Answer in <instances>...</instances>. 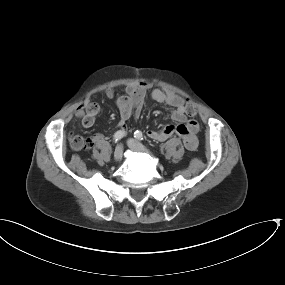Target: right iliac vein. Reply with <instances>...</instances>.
Returning a JSON list of instances; mask_svg holds the SVG:
<instances>
[{
  "mask_svg": "<svg viewBox=\"0 0 285 285\" xmlns=\"http://www.w3.org/2000/svg\"><path fill=\"white\" fill-rule=\"evenodd\" d=\"M123 157V147L122 145H117L115 151H114V159L116 161H121Z\"/></svg>",
  "mask_w": 285,
  "mask_h": 285,
  "instance_id": "obj_1",
  "label": "right iliac vein"
}]
</instances>
